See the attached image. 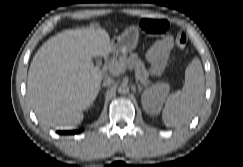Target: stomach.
Segmentation results:
<instances>
[{"label": "stomach", "instance_id": "1", "mask_svg": "<svg viewBox=\"0 0 243 167\" xmlns=\"http://www.w3.org/2000/svg\"><path fill=\"white\" fill-rule=\"evenodd\" d=\"M139 38V30L135 25L128 26L124 32L111 42L113 55H124L136 48Z\"/></svg>", "mask_w": 243, "mask_h": 167}]
</instances>
